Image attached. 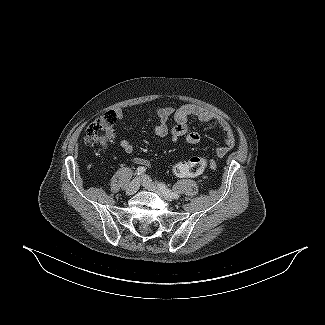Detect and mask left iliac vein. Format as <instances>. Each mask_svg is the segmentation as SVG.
<instances>
[{
	"mask_svg": "<svg viewBox=\"0 0 325 325\" xmlns=\"http://www.w3.org/2000/svg\"><path fill=\"white\" fill-rule=\"evenodd\" d=\"M140 181H141V184H142L146 189H148V190H150V191H153V192L157 193L159 196L165 198L166 200H169V201L173 200L172 197H170V196L164 194V193L159 189V187H158L154 182H152V180L149 178V176H147V175H143V176H141Z\"/></svg>",
	"mask_w": 325,
	"mask_h": 325,
	"instance_id": "4c4485c4",
	"label": "left iliac vein"
}]
</instances>
